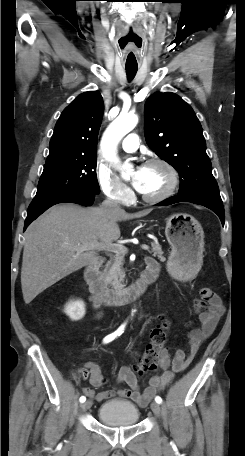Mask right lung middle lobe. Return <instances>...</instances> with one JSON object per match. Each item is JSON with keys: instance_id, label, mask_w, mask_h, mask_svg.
Masks as SVG:
<instances>
[{"instance_id": "dd1d6c3e", "label": "right lung middle lobe", "mask_w": 245, "mask_h": 456, "mask_svg": "<svg viewBox=\"0 0 245 456\" xmlns=\"http://www.w3.org/2000/svg\"><path fill=\"white\" fill-rule=\"evenodd\" d=\"M96 155L45 163L33 201L64 194L100 192L96 176Z\"/></svg>"}]
</instances>
